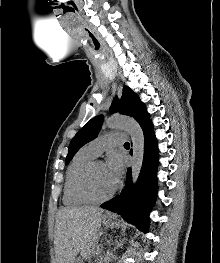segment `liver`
<instances>
[{"instance_id": "liver-1", "label": "liver", "mask_w": 220, "mask_h": 263, "mask_svg": "<svg viewBox=\"0 0 220 263\" xmlns=\"http://www.w3.org/2000/svg\"><path fill=\"white\" fill-rule=\"evenodd\" d=\"M103 210L81 206L58 210L55 222L54 247L56 263H73L96 237Z\"/></svg>"}]
</instances>
